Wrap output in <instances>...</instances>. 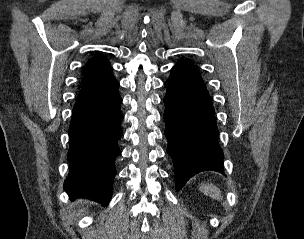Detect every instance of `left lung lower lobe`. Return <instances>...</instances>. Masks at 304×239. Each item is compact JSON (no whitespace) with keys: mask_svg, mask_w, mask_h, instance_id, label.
<instances>
[{"mask_svg":"<svg viewBox=\"0 0 304 239\" xmlns=\"http://www.w3.org/2000/svg\"><path fill=\"white\" fill-rule=\"evenodd\" d=\"M165 87L167 153L173 160L176 190H180L197 173H223V151L212 101L199 71L179 61Z\"/></svg>","mask_w":304,"mask_h":239,"instance_id":"1","label":"left lung lower lobe"}]
</instances>
